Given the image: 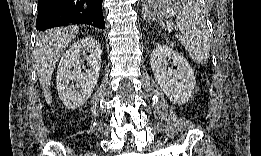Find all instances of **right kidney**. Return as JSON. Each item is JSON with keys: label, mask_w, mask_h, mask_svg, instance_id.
I'll return each instance as SVG.
<instances>
[{"label": "right kidney", "mask_w": 261, "mask_h": 156, "mask_svg": "<svg viewBox=\"0 0 261 156\" xmlns=\"http://www.w3.org/2000/svg\"><path fill=\"white\" fill-rule=\"evenodd\" d=\"M85 52L89 53L86 57L89 69L83 73L84 60L81 55ZM101 54L99 42L93 37H85L74 42L62 56L56 82L59 97L68 108L80 107L90 97L99 78Z\"/></svg>", "instance_id": "right-kidney-1"}]
</instances>
